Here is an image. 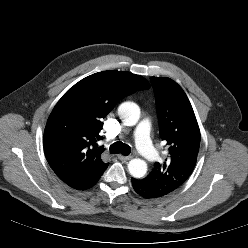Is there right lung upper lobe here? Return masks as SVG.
Segmentation results:
<instances>
[{
  "label": "right lung upper lobe",
  "instance_id": "obj_1",
  "mask_svg": "<svg viewBox=\"0 0 248 248\" xmlns=\"http://www.w3.org/2000/svg\"><path fill=\"white\" fill-rule=\"evenodd\" d=\"M149 87L139 75L109 70L82 79L64 94L44 132L47 161L63 182L77 190L97 183L108 166L97 144L102 120L119 100Z\"/></svg>",
  "mask_w": 248,
  "mask_h": 248
}]
</instances>
